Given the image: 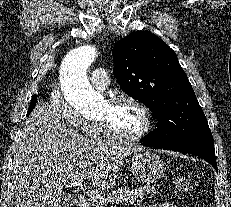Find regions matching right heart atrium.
Listing matches in <instances>:
<instances>
[{
  "mask_svg": "<svg viewBox=\"0 0 231 207\" xmlns=\"http://www.w3.org/2000/svg\"><path fill=\"white\" fill-rule=\"evenodd\" d=\"M50 104L55 114L65 123L78 131L89 134L88 121L84 116L77 112L63 97L59 90H53L51 93Z\"/></svg>",
  "mask_w": 231,
  "mask_h": 207,
  "instance_id": "d8ad5b80",
  "label": "right heart atrium"
}]
</instances>
